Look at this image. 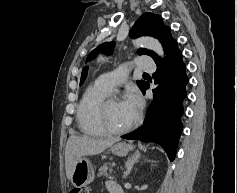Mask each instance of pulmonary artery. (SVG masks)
I'll list each match as a JSON object with an SVG mask.
<instances>
[{"label": "pulmonary artery", "mask_w": 237, "mask_h": 193, "mask_svg": "<svg viewBox=\"0 0 237 193\" xmlns=\"http://www.w3.org/2000/svg\"><path fill=\"white\" fill-rule=\"evenodd\" d=\"M135 64L138 69L146 72H154L156 70V65L150 56H143L135 60ZM128 69L124 65L116 71L104 73L100 75L97 81L108 88L109 90L116 89L121 85L127 78Z\"/></svg>", "instance_id": "e3ab8cb5"}]
</instances>
